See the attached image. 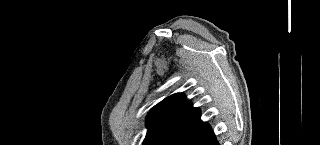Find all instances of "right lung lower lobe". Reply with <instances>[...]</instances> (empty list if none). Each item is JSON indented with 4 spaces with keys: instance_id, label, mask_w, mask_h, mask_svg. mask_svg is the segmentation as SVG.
<instances>
[{
    "instance_id": "obj_1",
    "label": "right lung lower lobe",
    "mask_w": 320,
    "mask_h": 145,
    "mask_svg": "<svg viewBox=\"0 0 320 145\" xmlns=\"http://www.w3.org/2000/svg\"><path fill=\"white\" fill-rule=\"evenodd\" d=\"M168 145H219L211 127L204 123L175 135Z\"/></svg>"
}]
</instances>
